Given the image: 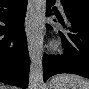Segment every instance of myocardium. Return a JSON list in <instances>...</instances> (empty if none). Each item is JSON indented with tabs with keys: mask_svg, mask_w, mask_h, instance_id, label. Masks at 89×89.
Returning a JSON list of instances; mask_svg holds the SVG:
<instances>
[{
	"mask_svg": "<svg viewBox=\"0 0 89 89\" xmlns=\"http://www.w3.org/2000/svg\"><path fill=\"white\" fill-rule=\"evenodd\" d=\"M59 48H60V42H59V41L55 40V41H53V42L51 43V49H52V50L56 51V50H58Z\"/></svg>",
	"mask_w": 89,
	"mask_h": 89,
	"instance_id": "obj_1",
	"label": "myocardium"
}]
</instances>
